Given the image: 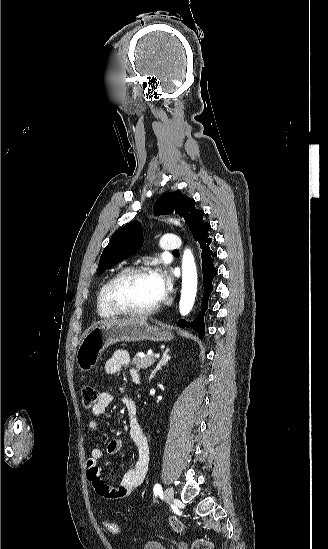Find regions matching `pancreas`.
Wrapping results in <instances>:
<instances>
[{
  "label": "pancreas",
  "instance_id": "cf45deb5",
  "mask_svg": "<svg viewBox=\"0 0 328 549\" xmlns=\"http://www.w3.org/2000/svg\"><path fill=\"white\" fill-rule=\"evenodd\" d=\"M155 363L154 355H149V357H139L135 355L134 359L131 361V365H136V369H147Z\"/></svg>",
  "mask_w": 328,
  "mask_h": 549
}]
</instances>
